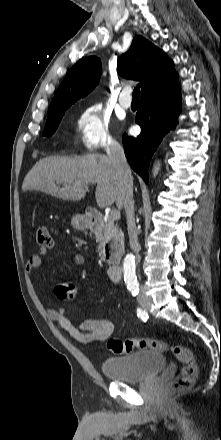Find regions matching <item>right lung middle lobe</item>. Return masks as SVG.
Instances as JSON below:
<instances>
[{"mask_svg":"<svg viewBox=\"0 0 221 440\" xmlns=\"http://www.w3.org/2000/svg\"><path fill=\"white\" fill-rule=\"evenodd\" d=\"M69 107L70 106H65V107H61V108L48 110V119H47V122L45 125L43 135L51 136L56 131V129L62 119V116L64 115L65 111Z\"/></svg>","mask_w":221,"mask_h":440,"instance_id":"right-lung-middle-lobe-1","label":"right lung middle lobe"}]
</instances>
